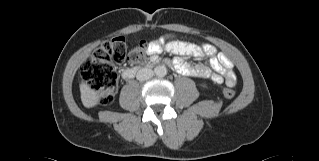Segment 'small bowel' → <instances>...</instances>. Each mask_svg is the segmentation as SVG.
Here are the masks:
<instances>
[{"label": "small bowel", "mask_w": 319, "mask_h": 161, "mask_svg": "<svg viewBox=\"0 0 319 161\" xmlns=\"http://www.w3.org/2000/svg\"><path fill=\"white\" fill-rule=\"evenodd\" d=\"M162 50L174 54L173 64L175 70L186 76L210 78L214 83L220 84L224 81L228 85H235L236 74L232 62L217 49L208 43L194 44L175 40L173 33H166L148 44V51L151 55H157ZM182 56L202 58L210 56L209 66L204 64L190 65L186 63ZM214 72H213V71Z\"/></svg>", "instance_id": "obj_1"}]
</instances>
